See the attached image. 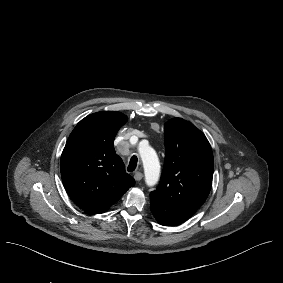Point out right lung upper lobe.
<instances>
[{
  "instance_id": "1",
  "label": "right lung upper lobe",
  "mask_w": 283,
  "mask_h": 283,
  "mask_svg": "<svg viewBox=\"0 0 283 283\" xmlns=\"http://www.w3.org/2000/svg\"><path fill=\"white\" fill-rule=\"evenodd\" d=\"M126 121L120 112L93 113L68 138L61 156L62 181L74 203L87 212L104 213L135 184L113 146Z\"/></svg>"
}]
</instances>
